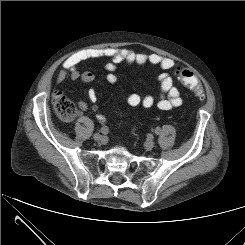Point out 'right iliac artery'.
<instances>
[{
	"instance_id": "right-iliac-artery-1",
	"label": "right iliac artery",
	"mask_w": 245,
	"mask_h": 245,
	"mask_svg": "<svg viewBox=\"0 0 245 245\" xmlns=\"http://www.w3.org/2000/svg\"><path fill=\"white\" fill-rule=\"evenodd\" d=\"M101 133L102 134H107L108 133V128L107 127H102L101 128Z\"/></svg>"
}]
</instances>
